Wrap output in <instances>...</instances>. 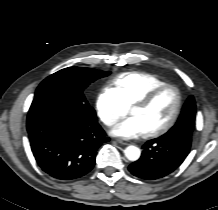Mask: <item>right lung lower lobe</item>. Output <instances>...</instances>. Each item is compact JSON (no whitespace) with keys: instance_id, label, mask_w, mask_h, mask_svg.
Segmentation results:
<instances>
[{"instance_id":"1","label":"right lung lower lobe","mask_w":218,"mask_h":210,"mask_svg":"<svg viewBox=\"0 0 218 210\" xmlns=\"http://www.w3.org/2000/svg\"><path fill=\"white\" fill-rule=\"evenodd\" d=\"M27 131L38 165L59 180L80 178L90 172L97 149L109 141L92 107L50 98L32 102Z\"/></svg>"}]
</instances>
